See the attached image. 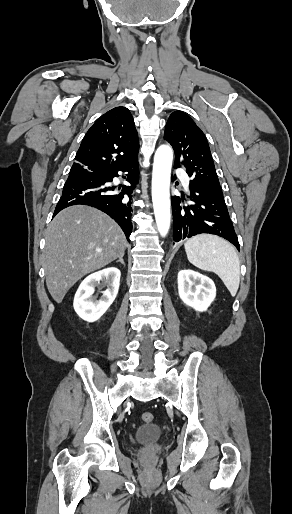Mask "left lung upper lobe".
Listing matches in <instances>:
<instances>
[{
  "label": "left lung upper lobe",
  "mask_w": 292,
  "mask_h": 514,
  "mask_svg": "<svg viewBox=\"0 0 292 514\" xmlns=\"http://www.w3.org/2000/svg\"><path fill=\"white\" fill-rule=\"evenodd\" d=\"M164 139L173 146L175 167H185L190 184L222 193L206 136L187 114L174 111L170 115Z\"/></svg>",
  "instance_id": "left-lung-upper-lobe-1"
}]
</instances>
